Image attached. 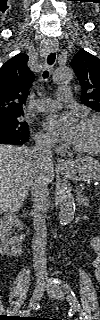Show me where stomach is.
Instances as JSON below:
<instances>
[{
	"label": "stomach",
	"mask_w": 100,
	"mask_h": 320,
	"mask_svg": "<svg viewBox=\"0 0 100 320\" xmlns=\"http://www.w3.org/2000/svg\"><path fill=\"white\" fill-rule=\"evenodd\" d=\"M64 173L72 180L86 182L100 177V162L93 157H79L71 160Z\"/></svg>",
	"instance_id": "0dacf381"
}]
</instances>
